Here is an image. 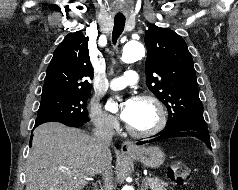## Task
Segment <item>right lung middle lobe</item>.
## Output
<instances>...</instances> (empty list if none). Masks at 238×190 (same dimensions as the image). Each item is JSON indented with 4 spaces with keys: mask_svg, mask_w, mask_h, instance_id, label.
<instances>
[{
    "mask_svg": "<svg viewBox=\"0 0 238 190\" xmlns=\"http://www.w3.org/2000/svg\"><path fill=\"white\" fill-rule=\"evenodd\" d=\"M87 93L42 97L35 125L45 122H88Z\"/></svg>",
    "mask_w": 238,
    "mask_h": 190,
    "instance_id": "dd1d6c3e",
    "label": "right lung middle lobe"
}]
</instances>
